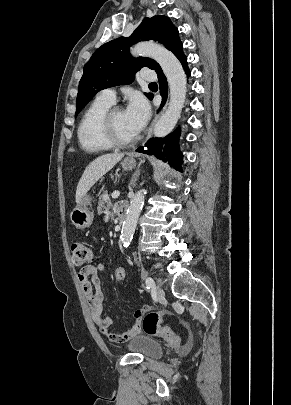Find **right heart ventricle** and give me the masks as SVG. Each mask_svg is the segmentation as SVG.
Wrapping results in <instances>:
<instances>
[{"label":"right heart ventricle","instance_id":"obj_1","mask_svg":"<svg viewBox=\"0 0 291 405\" xmlns=\"http://www.w3.org/2000/svg\"><path fill=\"white\" fill-rule=\"evenodd\" d=\"M112 104L96 98L84 111L77 128L80 147L88 153H101L112 148L104 139L101 124Z\"/></svg>","mask_w":291,"mask_h":405}]
</instances>
